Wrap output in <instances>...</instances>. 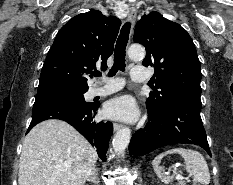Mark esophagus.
<instances>
[{
    "label": "esophagus",
    "mask_w": 233,
    "mask_h": 185,
    "mask_svg": "<svg viewBox=\"0 0 233 185\" xmlns=\"http://www.w3.org/2000/svg\"><path fill=\"white\" fill-rule=\"evenodd\" d=\"M136 15H137L136 7L134 5H131L129 12H128L127 20L129 22L133 23L136 19ZM121 127H122V125L118 124V123H115L113 126L114 131H118Z\"/></svg>",
    "instance_id": "esophagus-1"
}]
</instances>
